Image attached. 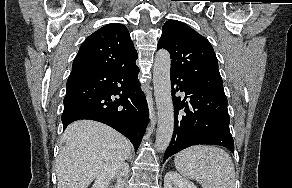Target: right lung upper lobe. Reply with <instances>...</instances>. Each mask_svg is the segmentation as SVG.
Returning a JSON list of instances; mask_svg holds the SVG:
<instances>
[{"label":"right lung upper lobe","mask_w":292,"mask_h":188,"mask_svg":"<svg viewBox=\"0 0 292 188\" xmlns=\"http://www.w3.org/2000/svg\"><path fill=\"white\" fill-rule=\"evenodd\" d=\"M137 59L130 34L123 24L110 23L95 31L82 43L73 69H123Z\"/></svg>","instance_id":"1"}]
</instances>
